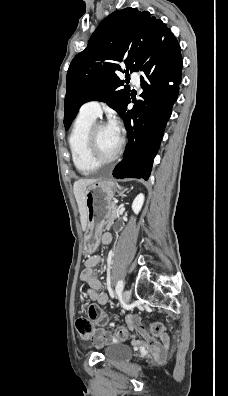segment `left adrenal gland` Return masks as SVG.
Returning <instances> with one entry per match:
<instances>
[{"mask_svg":"<svg viewBox=\"0 0 228 396\" xmlns=\"http://www.w3.org/2000/svg\"><path fill=\"white\" fill-rule=\"evenodd\" d=\"M127 189L123 190L122 192H120L119 196H123V193L126 191Z\"/></svg>","mask_w":228,"mask_h":396,"instance_id":"1","label":"left adrenal gland"}]
</instances>
